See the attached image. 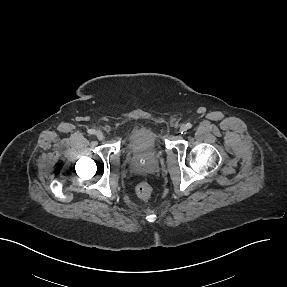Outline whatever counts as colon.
<instances>
[{
	"mask_svg": "<svg viewBox=\"0 0 287 287\" xmlns=\"http://www.w3.org/2000/svg\"><path fill=\"white\" fill-rule=\"evenodd\" d=\"M137 195L143 200H149L152 197L153 190L148 182H141L136 188Z\"/></svg>",
	"mask_w": 287,
	"mask_h": 287,
	"instance_id": "colon-1",
	"label": "colon"
}]
</instances>
